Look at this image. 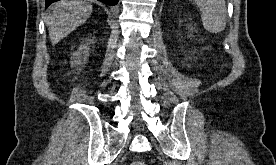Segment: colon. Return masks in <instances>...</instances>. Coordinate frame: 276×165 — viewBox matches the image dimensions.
Masks as SVG:
<instances>
[{
    "mask_svg": "<svg viewBox=\"0 0 276 165\" xmlns=\"http://www.w3.org/2000/svg\"><path fill=\"white\" fill-rule=\"evenodd\" d=\"M131 165H147V164L143 161H135Z\"/></svg>",
    "mask_w": 276,
    "mask_h": 165,
    "instance_id": "1",
    "label": "colon"
}]
</instances>
